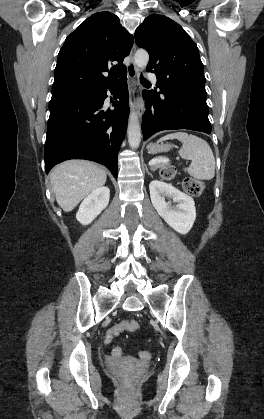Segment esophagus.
Returning a JSON list of instances; mask_svg holds the SVG:
<instances>
[{"label":"esophagus","mask_w":264,"mask_h":419,"mask_svg":"<svg viewBox=\"0 0 264 419\" xmlns=\"http://www.w3.org/2000/svg\"><path fill=\"white\" fill-rule=\"evenodd\" d=\"M136 50V44L134 43L130 52V63L127 66V84L129 88L130 94V105L136 110L139 117L142 116L143 109L142 105L137 99V95L140 91V84H139V70L136 67L133 61V55Z\"/></svg>","instance_id":"obj_1"}]
</instances>
